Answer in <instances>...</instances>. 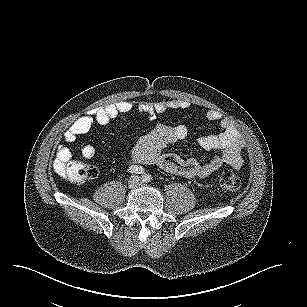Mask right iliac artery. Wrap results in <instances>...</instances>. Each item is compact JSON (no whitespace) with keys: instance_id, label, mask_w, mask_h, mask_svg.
Segmentation results:
<instances>
[{"instance_id":"1","label":"right iliac artery","mask_w":307,"mask_h":307,"mask_svg":"<svg viewBox=\"0 0 307 307\" xmlns=\"http://www.w3.org/2000/svg\"><path fill=\"white\" fill-rule=\"evenodd\" d=\"M127 172L130 173V174H143L144 169L142 167H139V166H131V167H129Z\"/></svg>"}]
</instances>
